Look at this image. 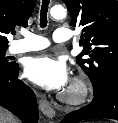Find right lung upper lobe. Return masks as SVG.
Here are the masks:
<instances>
[{
  "instance_id": "cb5924a9",
  "label": "right lung upper lobe",
  "mask_w": 118,
  "mask_h": 123,
  "mask_svg": "<svg viewBox=\"0 0 118 123\" xmlns=\"http://www.w3.org/2000/svg\"><path fill=\"white\" fill-rule=\"evenodd\" d=\"M36 0H0V49L8 48L6 35L16 26H28Z\"/></svg>"
}]
</instances>
